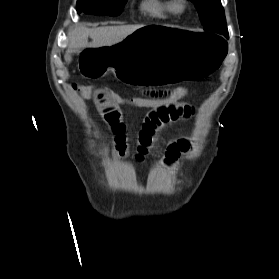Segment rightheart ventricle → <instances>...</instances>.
<instances>
[{
  "label": "right heart ventricle",
  "instance_id": "e07e8e85",
  "mask_svg": "<svg viewBox=\"0 0 279 279\" xmlns=\"http://www.w3.org/2000/svg\"><path fill=\"white\" fill-rule=\"evenodd\" d=\"M141 7L150 15L165 18L175 12L174 3L170 0H143Z\"/></svg>",
  "mask_w": 279,
  "mask_h": 279
}]
</instances>
